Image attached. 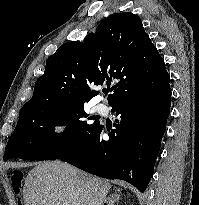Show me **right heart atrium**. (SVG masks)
I'll list each match as a JSON object with an SVG mask.
<instances>
[{
  "label": "right heart atrium",
  "mask_w": 199,
  "mask_h": 205,
  "mask_svg": "<svg viewBox=\"0 0 199 205\" xmlns=\"http://www.w3.org/2000/svg\"><path fill=\"white\" fill-rule=\"evenodd\" d=\"M70 133L71 125L64 120H59L58 122H56L51 129V135L55 138L67 136Z\"/></svg>",
  "instance_id": "right-heart-atrium-1"
}]
</instances>
